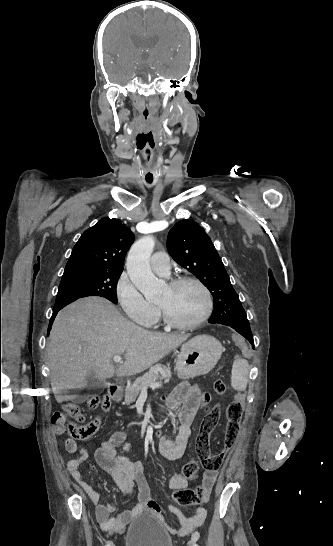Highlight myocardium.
<instances>
[{
    "mask_svg": "<svg viewBox=\"0 0 333 546\" xmlns=\"http://www.w3.org/2000/svg\"><path fill=\"white\" fill-rule=\"evenodd\" d=\"M183 284H194L198 286L200 290L203 292L205 297V307L200 317L190 323H181L174 320L162 306H159V310L161 312L163 321L165 322L166 325L177 330L187 331V330H193L200 327L209 319L213 311L214 302H213L211 291L209 290L207 285L196 277L180 276L173 279L170 282L169 286L171 288H177Z\"/></svg>",
    "mask_w": 333,
    "mask_h": 546,
    "instance_id": "obj_1",
    "label": "myocardium"
}]
</instances>
